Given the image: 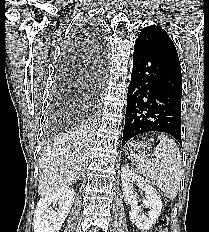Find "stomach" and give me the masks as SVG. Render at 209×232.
Here are the masks:
<instances>
[{"label":"stomach","mask_w":209,"mask_h":232,"mask_svg":"<svg viewBox=\"0 0 209 232\" xmlns=\"http://www.w3.org/2000/svg\"><path fill=\"white\" fill-rule=\"evenodd\" d=\"M146 143H130L129 149L132 152L133 150H137L138 148H146Z\"/></svg>","instance_id":"stomach-1"}]
</instances>
